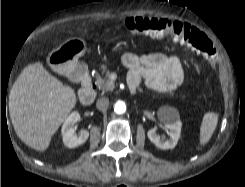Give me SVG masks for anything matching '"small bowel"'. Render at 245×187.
Wrapping results in <instances>:
<instances>
[{
    "label": "small bowel",
    "mask_w": 245,
    "mask_h": 187,
    "mask_svg": "<svg viewBox=\"0 0 245 187\" xmlns=\"http://www.w3.org/2000/svg\"><path fill=\"white\" fill-rule=\"evenodd\" d=\"M122 63L129 70L128 82L132 90L143 82L157 92H169L183 82L182 66L176 56L126 53L122 57Z\"/></svg>",
    "instance_id": "1"
}]
</instances>
